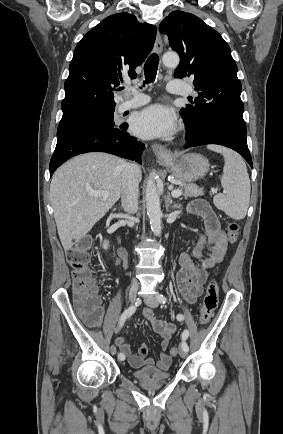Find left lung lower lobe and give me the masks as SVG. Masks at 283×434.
<instances>
[{
	"label": "left lung lower lobe",
	"instance_id": "1",
	"mask_svg": "<svg viewBox=\"0 0 283 434\" xmlns=\"http://www.w3.org/2000/svg\"><path fill=\"white\" fill-rule=\"evenodd\" d=\"M186 141L185 148L206 144H217L231 148L238 152L248 162L251 168H253L246 133L232 128L218 127L194 137L186 136Z\"/></svg>",
	"mask_w": 283,
	"mask_h": 434
}]
</instances>
